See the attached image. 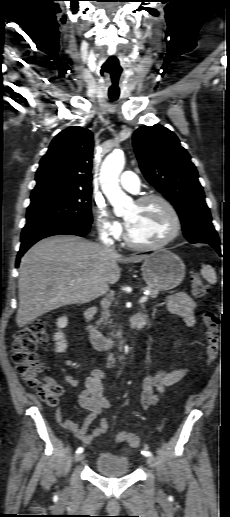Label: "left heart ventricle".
<instances>
[{
  "mask_svg": "<svg viewBox=\"0 0 230 517\" xmlns=\"http://www.w3.org/2000/svg\"><path fill=\"white\" fill-rule=\"evenodd\" d=\"M131 237L140 243H154L165 238L172 227L171 217L158 201L133 205L125 213Z\"/></svg>",
  "mask_w": 230,
  "mask_h": 517,
  "instance_id": "1",
  "label": "left heart ventricle"
}]
</instances>
